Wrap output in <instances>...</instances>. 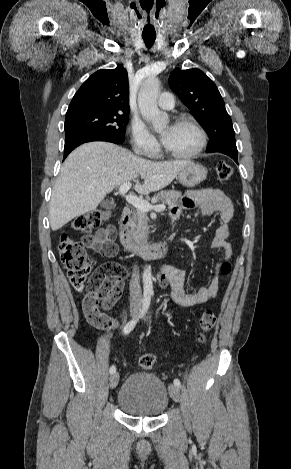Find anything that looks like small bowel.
Instances as JSON below:
<instances>
[{
  "label": "small bowel",
  "mask_w": 291,
  "mask_h": 469,
  "mask_svg": "<svg viewBox=\"0 0 291 469\" xmlns=\"http://www.w3.org/2000/svg\"><path fill=\"white\" fill-rule=\"evenodd\" d=\"M194 207H198L203 216H210L213 214L219 215L221 223L215 232L212 247L222 250L223 258L225 260H229L232 256V248L228 242L230 234L229 222L232 220L234 215V208L230 199L219 189L206 188L191 191L183 198L181 206L174 207L171 210V218L173 220H177L181 216L183 210L192 209ZM114 236L115 231L112 226L101 229L92 236V243L89 248L103 256L112 257L115 254H110L107 251V248L113 241ZM185 277L186 274L184 270L171 263L165 264L158 275L160 284L162 286H170L171 298L175 303L182 307H190L205 303L214 298L220 290L217 274L212 278L211 282L207 286H204L193 293L186 291L184 286ZM122 290L123 284L115 301L120 298ZM119 327V322L112 320V327L109 329H118Z\"/></svg>",
  "instance_id": "1"
}]
</instances>
